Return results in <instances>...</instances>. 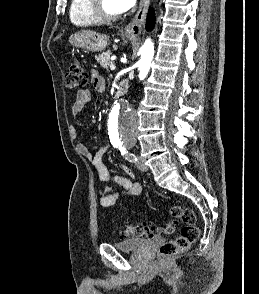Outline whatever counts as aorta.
<instances>
[{"mask_svg": "<svg viewBox=\"0 0 259 294\" xmlns=\"http://www.w3.org/2000/svg\"><path fill=\"white\" fill-rule=\"evenodd\" d=\"M138 62L139 78L143 80L149 73L151 61L154 56V44L151 39H146L140 48ZM139 116L122 100L110 111L108 118V134L110 139L120 142H134L137 139Z\"/></svg>", "mask_w": 259, "mask_h": 294, "instance_id": "1", "label": "aorta"}]
</instances>
